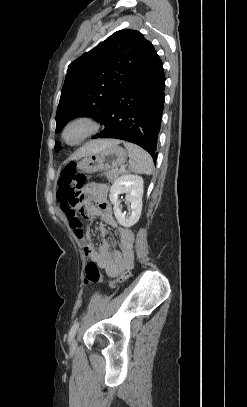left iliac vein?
Masks as SVG:
<instances>
[{"instance_id": "obj_1", "label": "left iliac vein", "mask_w": 247, "mask_h": 407, "mask_svg": "<svg viewBox=\"0 0 247 407\" xmlns=\"http://www.w3.org/2000/svg\"><path fill=\"white\" fill-rule=\"evenodd\" d=\"M76 346H77L76 340H75V339H72L71 345H70L71 349H75Z\"/></svg>"}]
</instances>
